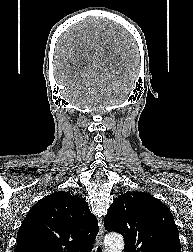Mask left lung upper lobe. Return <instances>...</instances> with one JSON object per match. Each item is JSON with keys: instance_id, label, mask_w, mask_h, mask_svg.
<instances>
[{"instance_id": "obj_1", "label": "left lung upper lobe", "mask_w": 193, "mask_h": 252, "mask_svg": "<svg viewBox=\"0 0 193 252\" xmlns=\"http://www.w3.org/2000/svg\"><path fill=\"white\" fill-rule=\"evenodd\" d=\"M104 225L124 237V252H181L170 209L149 193L120 195L110 206Z\"/></svg>"}]
</instances>
